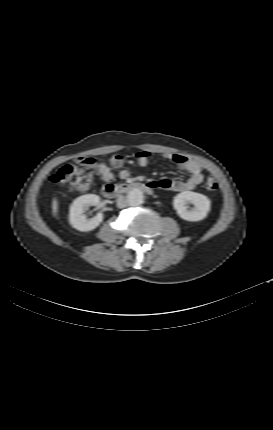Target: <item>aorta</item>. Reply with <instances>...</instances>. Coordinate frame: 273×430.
<instances>
[{
    "instance_id": "762f6f07",
    "label": "aorta",
    "mask_w": 273,
    "mask_h": 430,
    "mask_svg": "<svg viewBox=\"0 0 273 430\" xmlns=\"http://www.w3.org/2000/svg\"><path fill=\"white\" fill-rule=\"evenodd\" d=\"M143 192L139 189H132L127 194L128 204L131 206H138L143 202Z\"/></svg>"
}]
</instances>
